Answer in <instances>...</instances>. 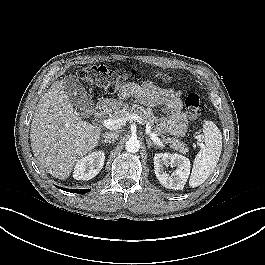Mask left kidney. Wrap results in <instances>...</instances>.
Instances as JSON below:
<instances>
[{"label": "left kidney", "instance_id": "1", "mask_svg": "<svg viewBox=\"0 0 265 265\" xmlns=\"http://www.w3.org/2000/svg\"><path fill=\"white\" fill-rule=\"evenodd\" d=\"M168 166L176 167L171 176L165 171ZM154 169L161 185L168 189L181 190L190 174V160L179 154L157 153L154 156Z\"/></svg>", "mask_w": 265, "mask_h": 265}]
</instances>
